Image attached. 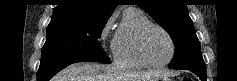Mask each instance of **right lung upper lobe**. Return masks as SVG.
<instances>
[{
  "mask_svg": "<svg viewBox=\"0 0 237 81\" xmlns=\"http://www.w3.org/2000/svg\"><path fill=\"white\" fill-rule=\"evenodd\" d=\"M116 4L117 0H59L52 19L76 16L108 20Z\"/></svg>",
  "mask_w": 237,
  "mask_h": 81,
  "instance_id": "cb5924a9",
  "label": "right lung upper lobe"
}]
</instances>
